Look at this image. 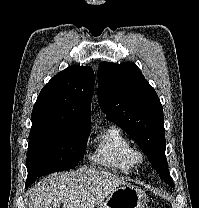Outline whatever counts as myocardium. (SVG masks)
Listing matches in <instances>:
<instances>
[{"label": "myocardium", "instance_id": "myocardium-1", "mask_svg": "<svg viewBox=\"0 0 199 208\" xmlns=\"http://www.w3.org/2000/svg\"><path fill=\"white\" fill-rule=\"evenodd\" d=\"M131 159L134 164H141L145 159L144 152L139 147H132Z\"/></svg>", "mask_w": 199, "mask_h": 208}]
</instances>
